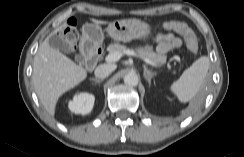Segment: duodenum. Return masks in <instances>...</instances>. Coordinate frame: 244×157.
I'll return each mask as SVG.
<instances>
[{
    "label": "duodenum",
    "mask_w": 244,
    "mask_h": 157,
    "mask_svg": "<svg viewBox=\"0 0 244 157\" xmlns=\"http://www.w3.org/2000/svg\"><path fill=\"white\" fill-rule=\"evenodd\" d=\"M82 49L85 55L86 67L89 70L94 69L100 59L101 51L96 47H92L88 41L82 44Z\"/></svg>",
    "instance_id": "duodenum-1"
}]
</instances>
